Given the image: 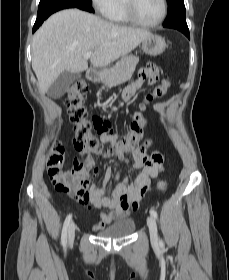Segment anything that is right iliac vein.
I'll use <instances>...</instances> for the list:
<instances>
[{
    "mask_svg": "<svg viewBox=\"0 0 229 280\" xmlns=\"http://www.w3.org/2000/svg\"><path fill=\"white\" fill-rule=\"evenodd\" d=\"M75 238V224L71 223L68 228V241L69 244H72Z\"/></svg>",
    "mask_w": 229,
    "mask_h": 280,
    "instance_id": "obj_1",
    "label": "right iliac vein"
}]
</instances>
